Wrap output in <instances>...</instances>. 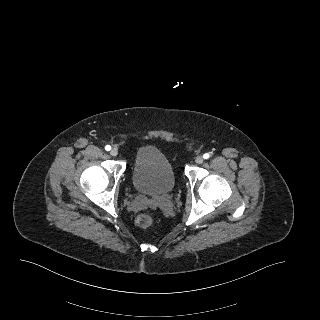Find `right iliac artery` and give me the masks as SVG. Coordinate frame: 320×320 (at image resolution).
Here are the masks:
<instances>
[{
  "mask_svg": "<svg viewBox=\"0 0 320 320\" xmlns=\"http://www.w3.org/2000/svg\"><path fill=\"white\" fill-rule=\"evenodd\" d=\"M105 150H106V151H110V150H111V146H110V145H106V146H105Z\"/></svg>",
  "mask_w": 320,
  "mask_h": 320,
  "instance_id": "right-iliac-artery-1",
  "label": "right iliac artery"
}]
</instances>
